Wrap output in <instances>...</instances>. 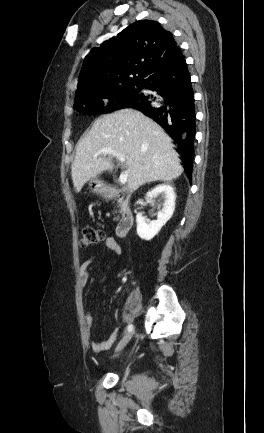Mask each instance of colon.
Wrapping results in <instances>:
<instances>
[{"label": "colon", "mask_w": 264, "mask_h": 433, "mask_svg": "<svg viewBox=\"0 0 264 433\" xmlns=\"http://www.w3.org/2000/svg\"><path fill=\"white\" fill-rule=\"evenodd\" d=\"M104 233L94 227H86L81 234L82 247H90L104 241Z\"/></svg>", "instance_id": "1"}]
</instances>
